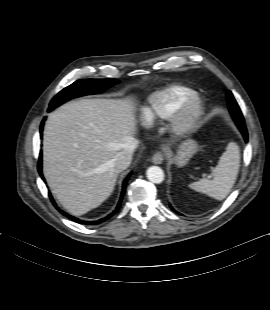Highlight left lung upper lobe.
<instances>
[{"instance_id":"left-lung-upper-lobe-1","label":"left lung upper lobe","mask_w":270,"mask_h":310,"mask_svg":"<svg viewBox=\"0 0 270 310\" xmlns=\"http://www.w3.org/2000/svg\"><path fill=\"white\" fill-rule=\"evenodd\" d=\"M227 100H228V105H229V111H230L235 123L237 124V126L239 127V129L241 131L246 130L243 115H242L241 110H240L236 100L234 99L231 91L227 92Z\"/></svg>"}]
</instances>
